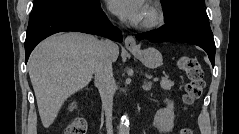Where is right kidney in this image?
Here are the masks:
<instances>
[{
  "label": "right kidney",
  "mask_w": 239,
  "mask_h": 134,
  "mask_svg": "<svg viewBox=\"0 0 239 134\" xmlns=\"http://www.w3.org/2000/svg\"><path fill=\"white\" fill-rule=\"evenodd\" d=\"M75 106H76V103L73 102V103L71 104V106L69 107V109H70V110H73V109L75 108Z\"/></svg>",
  "instance_id": "1"
}]
</instances>
